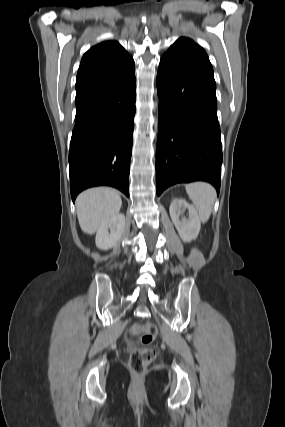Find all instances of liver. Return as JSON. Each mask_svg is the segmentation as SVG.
<instances>
[{
  "instance_id": "1",
  "label": "liver",
  "mask_w": 285,
  "mask_h": 427,
  "mask_svg": "<svg viewBox=\"0 0 285 427\" xmlns=\"http://www.w3.org/2000/svg\"><path fill=\"white\" fill-rule=\"evenodd\" d=\"M122 200L113 189L99 187L82 192L76 199L79 225L83 232L94 234L112 216L119 213Z\"/></svg>"
}]
</instances>
